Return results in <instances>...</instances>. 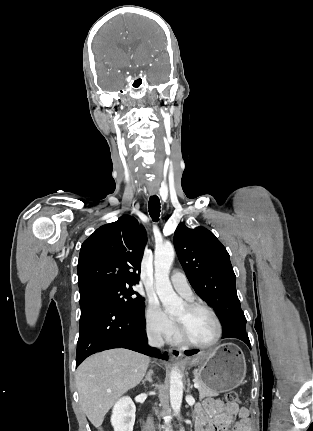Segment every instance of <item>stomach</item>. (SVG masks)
Returning <instances> with one entry per match:
<instances>
[{
	"label": "stomach",
	"mask_w": 313,
	"mask_h": 431,
	"mask_svg": "<svg viewBox=\"0 0 313 431\" xmlns=\"http://www.w3.org/2000/svg\"><path fill=\"white\" fill-rule=\"evenodd\" d=\"M186 366L196 367L194 372L203 385L218 393L233 390L243 384L246 362L241 349L226 343L212 351L201 352L186 360Z\"/></svg>",
	"instance_id": "0dacf381"
}]
</instances>
